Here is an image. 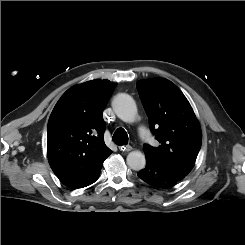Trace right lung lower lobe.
<instances>
[{"label": "right lung lower lobe", "mask_w": 245, "mask_h": 245, "mask_svg": "<svg viewBox=\"0 0 245 245\" xmlns=\"http://www.w3.org/2000/svg\"><path fill=\"white\" fill-rule=\"evenodd\" d=\"M100 171L97 172L88 182H86L85 184H83L82 186H80L78 188L86 187V186L91 185L92 183H94L99 178Z\"/></svg>", "instance_id": "obj_1"}]
</instances>
